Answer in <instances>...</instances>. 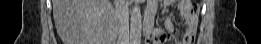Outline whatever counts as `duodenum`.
<instances>
[{"instance_id": "410a0bca", "label": "duodenum", "mask_w": 261, "mask_h": 44, "mask_svg": "<svg viewBox=\"0 0 261 44\" xmlns=\"http://www.w3.org/2000/svg\"><path fill=\"white\" fill-rule=\"evenodd\" d=\"M152 26H153V19L150 16L146 15L144 17V24H143L144 35L146 36L150 35L152 31Z\"/></svg>"}]
</instances>
